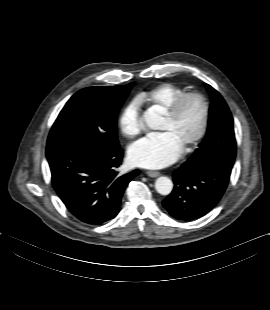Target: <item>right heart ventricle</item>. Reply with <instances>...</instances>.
<instances>
[{"label":"right heart ventricle","mask_w":270,"mask_h":310,"mask_svg":"<svg viewBox=\"0 0 270 310\" xmlns=\"http://www.w3.org/2000/svg\"><path fill=\"white\" fill-rule=\"evenodd\" d=\"M185 90L172 83H161L138 95V100L165 112L172 102Z\"/></svg>","instance_id":"obj_1"}]
</instances>
